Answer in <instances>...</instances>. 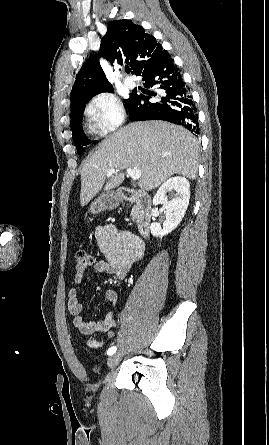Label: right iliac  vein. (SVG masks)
I'll list each match as a JSON object with an SVG mask.
<instances>
[{
    "label": "right iliac vein",
    "instance_id": "right-iliac-vein-1",
    "mask_svg": "<svg viewBox=\"0 0 269 445\" xmlns=\"http://www.w3.org/2000/svg\"><path fill=\"white\" fill-rule=\"evenodd\" d=\"M120 360H121V353H116L111 357H109L107 364L110 368H114L120 362Z\"/></svg>",
    "mask_w": 269,
    "mask_h": 445
}]
</instances>
